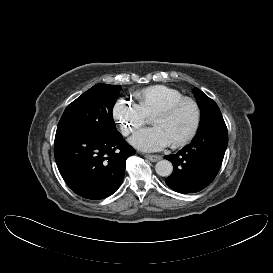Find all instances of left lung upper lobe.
I'll return each mask as SVG.
<instances>
[{"label":"left lung upper lobe","mask_w":273,"mask_h":273,"mask_svg":"<svg viewBox=\"0 0 273 273\" xmlns=\"http://www.w3.org/2000/svg\"><path fill=\"white\" fill-rule=\"evenodd\" d=\"M194 93L201 109V121L196 135L226 131L227 127L217 104L197 88H195Z\"/></svg>","instance_id":"left-lung-upper-lobe-1"}]
</instances>
